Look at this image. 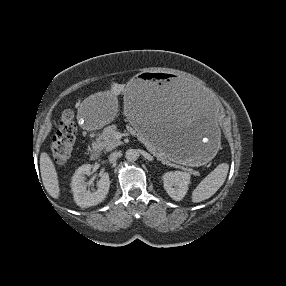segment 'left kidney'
<instances>
[{"label":"left kidney","instance_id":"obj_1","mask_svg":"<svg viewBox=\"0 0 286 286\" xmlns=\"http://www.w3.org/2000/svg\"><path fill=\"white\" fill-rule=\"evenodd\" d=\"M190 173L183 171H171L163 175L164 189L175 201H180L187 193L190 184Z\"/></svg>","mask_w":286,"mask_h":286}]
</instances>
